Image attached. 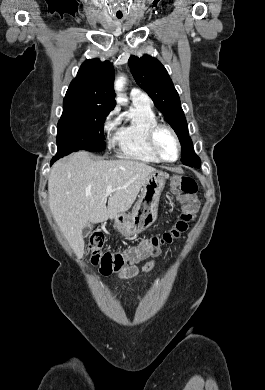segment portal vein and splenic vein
I'll list each match as a JSON object with an SVG mask.
<instances>
[{"label":"portal vein and splenic vein","instance_id":"obj_1","mask_svg":"<svg viewBox=\"0 0 265 390\" xmlns=\"http://www.w3.org/2000/svg\"><path fill=\"white\" fill-rule=\"evenodd\" d=\"M113 192L112 186L108 185L104 197L107 198Z\"/></svg>","mask_w":265,"mask_h":390}]
</instances>
